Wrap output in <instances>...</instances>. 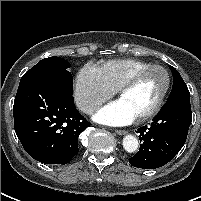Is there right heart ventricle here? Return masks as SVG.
<instances>
[{
    "label": "right heart ventricle",
    "instance_id": "right-heart-ventricle-1",
    "mask_svg": "<svg viewBox=\"0 0 201 201\" xmlns=\"http://www.w3.org/2000/svg\"><path fill=\"white\" fill-rule=\"evenodd\" d=\"M150 65V63L142 60L123 58L106 61L97 68L106 84L114 91H117L128 77Z\"/></svg>",
    "mask_w": 201,
    "mask_h": 201
}]
</instances>
